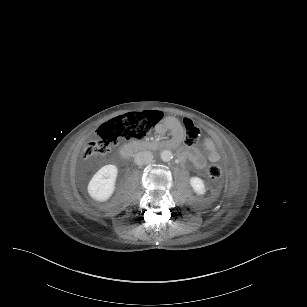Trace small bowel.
Returning a JSON list of instances; mask_svg holds the SVG:
<instances>
[{"label":"small bowel","mask_w":307,"mask_h":307,"mask_svg":"<svg viewBox=\"0 0 307 307\" xmlns=\"http://www.w3.org/2000/svg\"><path fill=\"white\" fill-rule=\"evenodd\" d=\"M169 129L171 132V139L169 143L173 148L178 147L184 137V131L181 124L176 120H169L165 126L161 127V130ZM204 151L207 159L210 162H217L220 159V154L216 149L215 143L212 139L206 138L203 142ZM178 156L182 160H189L192 164L202 169L206 166L207 160L203 152L196 147H182L178 152Z\"/></svg>","instance_id":"c3829d8e"}]
</instances>
